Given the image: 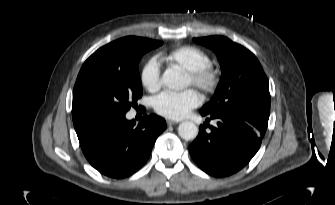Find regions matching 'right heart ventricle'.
I'll return each instance as SVG.
<instances>
[{"mask_svg":"<svg viewBox=\"0 0 335 205\" xmlns=\"http://www.w3.org/2000/svg\"><path fill=\"white\" fill-rule=\"evenodd\" d=\"M166 61L177 64L188 72L210 63L208 53L200 47L185 45L178 47L165 56Z\"/></svg>","mask_w":335,"mask_h":205,"instance_id":"e07e8e85","label":"right heart ventricle"}]
</instances>
